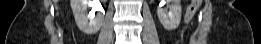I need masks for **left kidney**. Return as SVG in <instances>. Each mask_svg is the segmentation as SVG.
<instances>
[{"label": "left kidney", "instance_id": "obj_1", "mask_svg": "<svg viewBox=\"0 0 261 44\" xmlns=\"http://www.w3.org/2000/svg\"><path fill=\"white\" fill-rule=\"evenodd\" d=\"M171 2L168 11L160 7L157 9L159 21L168 31L175 30L179 26L182 15L180 0H172ZM162 3L165 4L164 1Z\"/></svg>", "mask_w": 261, "mask_h": 44}]
</instances>
